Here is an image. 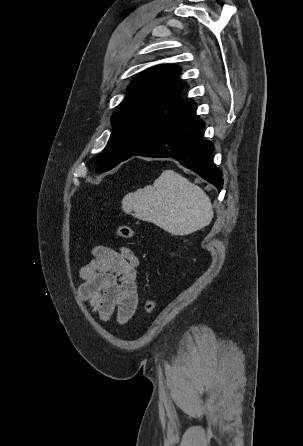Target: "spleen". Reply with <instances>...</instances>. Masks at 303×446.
Masks as SVG:
<instances>
[{"label": "spleen", "instance_id": "1", "mask_svg": "<svg viewBox=\"0 0 303 446\" xmlns=\"http://www.w3.org/2000/svg\"><path fill=\"white\" fill-rule=\"evenodd\" d=\"M122 209L176 236L208 226L214 215L206 193L173 170L164 171L153 185L128 193Z\"/></svg>", "mask_w": 303, "mask_h": 446}]
</instances>
